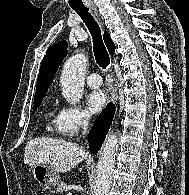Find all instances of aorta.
I'll return each mask as SVG.
<instances>
[{
    "label": "aorta",
    "mask_w": 189,
    "mask_h": 195,
    "mask_svg": "<svg viewBox=\"0 0 189 195\" xmlns=\"http://www.w3.org/2000/svg\"><path fill=\"white\" fill-rule=\"evenodd\" d=\"M86 65L87 57L84 54H76L63 66L60 78L62 95L71 105L77 104L82 98ZM117 151L118 136L112 132L107 136L99 156L94 195H108Z\"/></svg>",
    "instance_id": "obj_1"
}]
</instances>
